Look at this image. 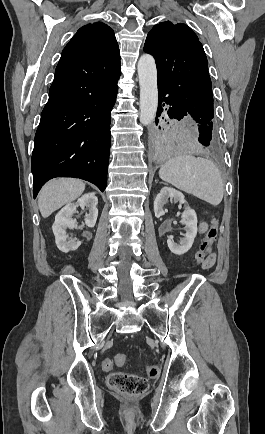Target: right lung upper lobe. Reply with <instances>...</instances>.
<instances>
[{"instance_id":"cb5924a9","label":"right lung upper lobe","mask_w":265,"mask_h":434,"mask_svg":"<svg viewBox=\"0 0 265 434\" xmlns=\"http://www.w3.org/2000/svg\"><path fill=\"white\" fill-rule=\"evenodd\" d=\"M114 31L102 22L81 27L62 51V55L81 57L118 55Z\"/></svg>"}]
</instances>
